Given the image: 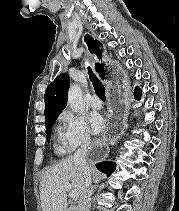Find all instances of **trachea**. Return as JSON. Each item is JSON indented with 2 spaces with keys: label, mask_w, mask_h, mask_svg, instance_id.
I'll list each match as a JSON object with an SVG mask.
<instances>
[{
  "label": "trachea",
  "mask_w": 179,
  "mask_h": 211,
  "mask_svg": "<svg viewBox=\"0 0 179 211\" xmlns=\"http://www.w3.org/2000/svg\"><path fill=\"white\" fill-rule=\"evenodd\" d=\"M88 69H89L88 74H89L90 80L93 84L95 93L99 96V98L101 100H105L106 97H105L104 85L95 77V75L92 73V71L90 70L89 67H88Z\"/></svg>",
  "instance_id": "3493384b"
}]
</instances>
